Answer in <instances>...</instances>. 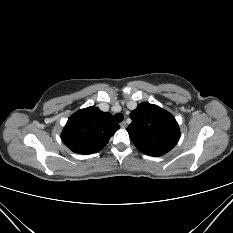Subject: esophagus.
<instances>
[{
  "label": "esophagus",
  "instance_id": "1",
  "mask_svg": "<svg viewBox=\"0 0 233 233\" xmlns=\"http://www.w3.org/2000/svg\"><path fill=\"white\" fill-rule=\"evenodd\" d=\"M126 125H127V124H126L125 121H123V122L120 123V127H121V128H126Z\"/></svg>",
  "mask_w": 233,
  "mask_h": 233
}]
</instances>
